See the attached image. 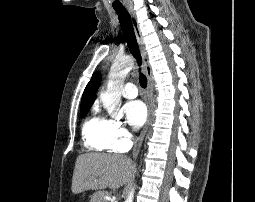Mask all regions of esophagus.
Segmentation results:
<instances>
[{
    "instance_id": "esophagus-1",
    "label": "esophagus",
    "mask_w": 255,
    "mask_h": 202,
    "mask_svg": "<svg viewBox=\"0 0 255 202\" xmlns=\"http://www.w3.org/2000/svg\"><path fill=\"white\" fill-rule=\"evenodd\" d=\"M129 14L131 17V23L135 32V36L139 45V50L141 53V57H142V61H143V67L147 76V80H148V84H147V107H148V116H147V121L140 133V135L138 136L137 140H136V144L133 148V152H132V157L136 158L140 152V148L142 145V142L144 140V137L146 135V132L148 130V126L150 124V120H151V112H152V94H153V76H152V69L149 63V59L144 47V41H143V37L141 34V30L138 24V21L133 13L132 10L129 9Z\"/></svg>"
}]
</instances>
